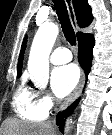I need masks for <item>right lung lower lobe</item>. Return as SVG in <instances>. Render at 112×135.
<instances>
[{"instance_id":"98d812e1","label":"right lung lower lobe","mask_w":112,"mask_h":135,"mask_svg":"<svg viewBox=\"0 0 112 135\" xmlns=\"http://www.w3.org/2000/svg\"><path fill=\"white\" fill-rule=\"evenodd\" d=\"M94 37L93 35H88L82 39L79 40L78 44V60L80 65L85 69L86 71V77L88 73L90 72L91 68V62L93 59V47H94ZM78 100L75 101L69 108H67L66 112H62L57 116V125H60V130L63 131V125H64V115L67 117L72 109L77 105Z\"/></svg>"}]
</instances>
